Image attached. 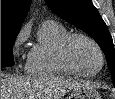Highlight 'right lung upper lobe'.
Masks as SVG:
<instances>
[{"instance_id":"1","label":"right lung upper lobe","mask_w":115,"mask_h":99,"mask_svg":"<svg viewBox=\"0 0 115 99\" xmlns=\"http://www.w3.org/2000/svg\"><path fill=\"white\" fill-rule=\"evenodd\" d=\"M31 0H1V33H19Z\"/></svg>"}]
</instances>
